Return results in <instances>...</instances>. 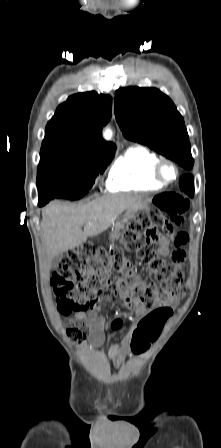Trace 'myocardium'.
<instances>
[{"label": "myocardium", "instance_id": "obj_1", "mask_svg": "<svg viewBox=\"0 0 221 448\" xmlns=\"http://www.w3.org/2000/svg\"><path fill=\"white\" fill-rule=\"evenodd\" d=\"M166 165H169L174 170V177L171 180H167L163 175V169ZM153 177L158 183L164 186L170 185L174 183L179 177L178 166L170 159L167 158L159 159L154 165Z\"/></svg>", "mask_w": 221, "mask_h": 448}]
</instances>
